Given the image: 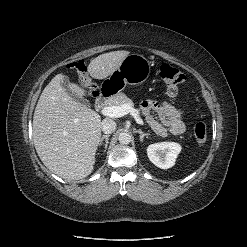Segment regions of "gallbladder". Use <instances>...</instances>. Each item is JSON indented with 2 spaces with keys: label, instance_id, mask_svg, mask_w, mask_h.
<instances>
[{
  "label": "gallbladder",
  "instance_id": "bac80fb5",
  "mask_svg": "<svg viewBox=\"0 0 247 247\" xmlns=\"http://www.w3.org/2000/svg\"><path fill=\"white\" fill-rule=\"evenodd\" d=\"M69 84H70V81H69V78L67 76H64L63 77V80L61 82V86L65 89V91L74 99L76 100L77 102L85 105L86 107H90V103L88 100L84 99V98H81L79 96H77L76 94H74L70 87H69Z\"/></svg>",
  "mask_w": 247,
  "mask_h": 247
}]
</instances>
